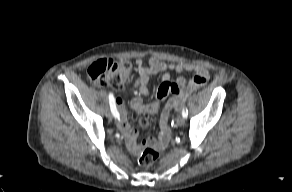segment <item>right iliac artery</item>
<instances>
[{"instance_id":"1","label":"right iliac artery","mask_w":292,"mask_h":192,"mask_svg":"<svg viewBox=\"0 0 292 192\" xmlns=\"http://www.w3.org/2000/svg\"><path fill=\"white\" fill-rule=\"evenodd\" d=\"M109 103H110V110H111L113 116L116 119H119L120 118V115H119V112H118L117 107H116V104H115L114 95L112 93H109Z\"/></svg>"}]
</instances>
